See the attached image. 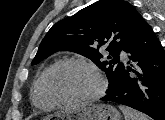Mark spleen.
<instances>
[{"label": "spleen", "mask_w": 165, "mask_h": 120, "mask_svg": "<svg viewBox=\"0 0 165 120\" xmlns=\"http://www.w3.org/2000/svg\"><path fill=\"white\" fill-rule=\"evenodd\" d=\"M125 116V120H149L148 117L126 106H119Z\"/></svg>", "instance_id": "spleen-1"}]
</instances>
